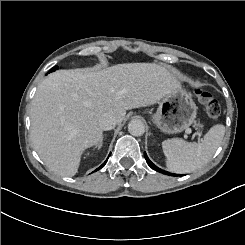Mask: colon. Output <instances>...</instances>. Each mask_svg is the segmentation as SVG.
Returning <instances> with one entry per match:
<instances>
[{
  "mask_svg": "<svg viewBox=\"0 0 245 245\" xmlns=\"http://www.w3.org/2000/svg\"><path fill=\"white\" fill-rule=\"evenodd\" d=\"M196 95L199 102L204 106L207 116L212 120L218 119L221 113V107L212 94L199 89L196 91Z\"/></svg>",
  "mask_w": 245,
  "mask_h": 245,
  "instance_id": "obj_1",
  "label": "colon"
}]
</instances>
